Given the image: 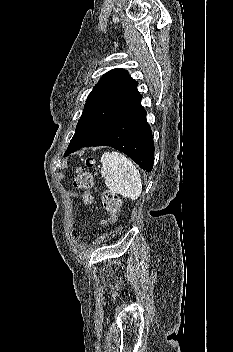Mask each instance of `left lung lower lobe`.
I'll return each instance as SVG.
<instances>
[{
    "mask_svg": "<svg viewBox=\"0 0 233 352\" xmlns=\"http://www.w3.org/2000/svg\"><path fill=\"white\" fill-rule=\"evenodd\" d=\"M88 146L113 147L129 156L147 172H151L153 168V136L146 120V111L141 105L83 147Z\"/></svg>",
    "mask_w": 233,
    "mask_h": 352,
    "instance_id": "0a47b994",
    "label": "left lung lower lobe"
}]
</instances>
